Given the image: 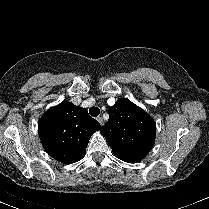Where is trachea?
<instances>
[{
	"instance_id": "3493384b",
	"label": "trachea",
	"mask_w": 209,
	"mask_h": 209,
	"mask_svg": "<svg viewBox=\"0 0 209 209\" xmlns=\"http://www.w3.org/2000/svg\"><path fill=\"white\" fill-rule=\"evenodd\" d=\"M89 113L91 116L97 117L100 114V109L98 107L93 106L89 109Z\"/></svg>"
}]
</instances>
